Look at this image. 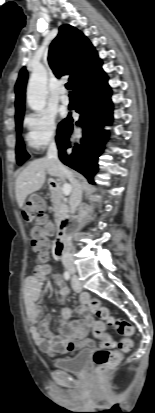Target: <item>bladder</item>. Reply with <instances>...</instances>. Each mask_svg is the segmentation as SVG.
<instances>
[{"label": "bladder", "mask_w": 155, "mask_h": 413, "mask_svg": "<svg viewBox=\"0 0 155 413\" xmlns=\"http://www.w3.org/2000/svg\"><path fill=\"white\" fill-rule=\"evenodd\" d=\"M89 355V350H83L72 357L56 359L53 365L63 371L82 374L88 368Z\"/></svg>", "instance_id": "31cf9c89"}]
</instances>
